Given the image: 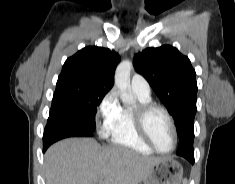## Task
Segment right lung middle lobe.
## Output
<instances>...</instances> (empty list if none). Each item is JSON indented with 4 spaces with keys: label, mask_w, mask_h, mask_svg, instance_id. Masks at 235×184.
I'll list each match as a JSON object with an SVG mask.
<instances>
[{
    "label": "right lung middle lobe",
    "mask_w": 235,
    "mask_h": 184,
    "mask_svg": "<svg viewBox=\"0 0 235 184\" xmlns=\"http://www.w3.org/2000/svg\"><path fill=\"white\" fill-rule=\"evenodd\" d=\"M109 90L99 87H73L56 90L52 100V111L63 112L83 124L89 132L95 130L97 106ZM91 137L90 134H67Z\"/></svg>",
    "instance_id": "1"
}]
</instances>
